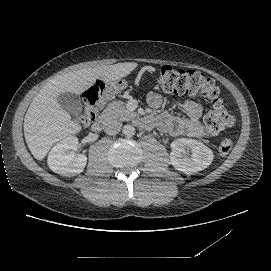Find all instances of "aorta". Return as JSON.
<instances>
[{"instance_id":"obj_1","label":"aorta","mask_w":271,"mask_h":271,"mask_svg":"<svg viewBox=\"0 0 271 271\" xmlns=\"http://www.w3.org/2000/svg\"><path fill=\"white\" fill-rule=\"evenodd\" d=\"M135 127L130 125V124H127V125H124L123 127V130H122V133L126 136V137H132L135 135Z\"/></svg>"}]
</instances>
